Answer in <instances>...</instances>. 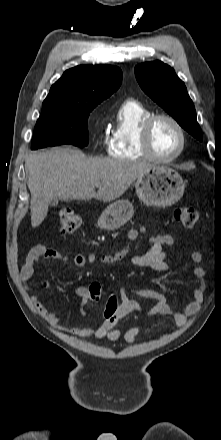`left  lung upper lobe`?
<instances>
[{"mask_svg":"<svg viewBox=\"0 0 221 440\" xmlns=\"http://www.w3.org/2000/svg\"><path fill=\"white\" fill-rule=\"evenodd\" d=\"M135 76L142 90L170 114L185 130L202 141L195 107L183 81L170 66L161 61L146 62L135 67Z\"/></svg>","mask_w":221,"mask_h":440,"instance_id":"obj_1","label":"left lung upper lobe"}]
</instances>
